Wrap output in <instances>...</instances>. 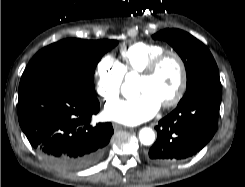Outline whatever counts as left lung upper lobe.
<instances>
[{
  "instance_id": "obj_1",
  "label": "left lung upper lobe",
  "mask_w": 245,
  "mask_h": 187,
  "mask_svg": "<svg viewBox=\"0 0 245 187\" xmlns=\"http://www.w3.org/2000/svg\"><path fill=\"white\" fill-rule=\"evenodd\" d=\"M153 38L167 41L184 61L187 91L181 101L206 87L220 85L217 64L201 41L179 29L162 30Z\"/></svg>"
}]
</instances>
